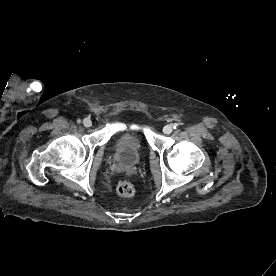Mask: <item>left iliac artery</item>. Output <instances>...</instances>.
<instances>
[{"label":"left iliac artery","mask_w":276,"mask_h":276,"mask_svg":"<svg viewBox=\"0 0 276 276\" xmlns=\"http://www.w3.org/2000/svg\"><path fill=\"white\" fill-rule=\"evenodd\" d=\"M173 128H174V129H177V128H178V124H176V123L173 124Z\"/></svg>","instance_id":"left-iliac-artery-1"}]
</instances>
